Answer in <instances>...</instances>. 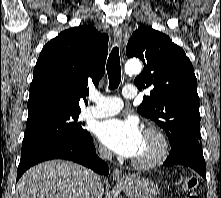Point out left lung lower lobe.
<instances>
[{
  "mask_svg": "<svg viewBox=\"0 0 221 198\" xmlns=\"http://www.w3.org/2000/svg\"><path fill=\"white\" fill-rule=\"evenodd\" d=\"M165 166L185 165L193 168L206 179V164L202 145L196 143L181 144L171 148Z\"/></svg>",
  "mask_w": 221,
  "mask_h": 198,
  "instance_id": "left-lung-lower-lobe-1",
  "label": "left lung lower lobe"
}]
</instances>
